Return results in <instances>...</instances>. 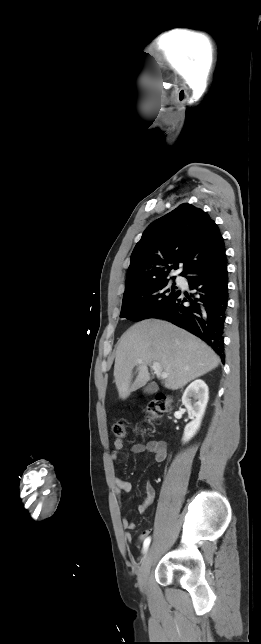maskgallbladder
Masks as SVG:
<instances>
[{
	"label": "gallbladder",
	"instance_id": "1",
	"mask_svg": "<svg viewBox=\"0 0 261 644\" xmlns=\"http://www.w3.org/2000/svg\"><path fill=\"white\" fill-rule=\"evenodd\" d=\"M157 386L154 384H149L145 387L144 392L147 394H153L157 391Z\"/></svg>",
	"mask_w": 261,
	"mask_h": 644
}]
</instances>
